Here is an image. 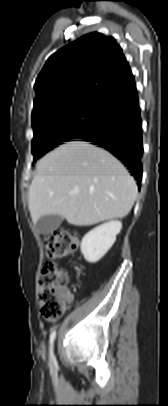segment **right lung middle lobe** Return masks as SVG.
Masks as SVG:
<instances>
[{
  "label": "right lung middle lobe",
  "instance_id": "1",
  "mask_svg": "<svg viewBox=\"0 0 168 406\" xmlns=\"http://www.w3.org/2000/svg\"><path fill=\"white\" fill-rule=\"evenodd\" d=\"M105 115V100H82L32 123L34 162L63 142L82 136Z\"/></svg>",
  "mask_w": 168,
  "mask_h": 406
}]
</instances>
